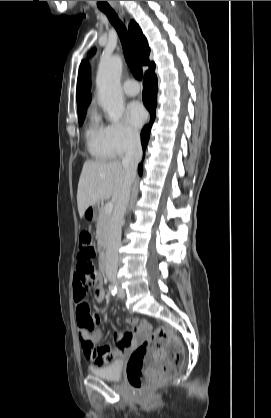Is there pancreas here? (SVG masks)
<instances>
[{"mask_svg":"<svg viewBox=\"0 0 271 418\" xmlns=\"http://www.w3.org/2000/svg\"><path fill=\"white\" fill-rule=\"evenodd\" d=\"M110 221V214L105 213L104 208L101 206L99 208V215L97 218L96 226V237L100 248H104L108 241L110 232Z\"/></svg>","mask_w":271,"mask_h":418,"instance_id":"cf45deb5","label":"pancreas"}]
</instances>
